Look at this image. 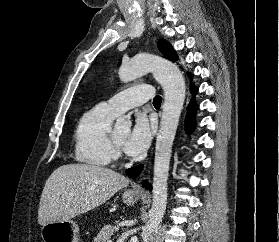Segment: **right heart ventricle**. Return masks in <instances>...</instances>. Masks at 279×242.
Instances as JSON below:
<instances>
[{
    "label": "right heart ventricle",
    "mask_w": 279,
    "mask_h": 242,
    "mask_svg": "<svg viewBox=\"0 0 279 242\" xmlns=\"http://www.w3.org/2000/svg\"><path fill=\"white\" fill-rule=\"evenodd\" d=\"M117 114L104 103L87 110L75 130V158L77 161L105 167L116 158L110 140V128Z\"/></svg>",
    "instance_id": "right-heart-ventricle-1"
}]
</instances>
